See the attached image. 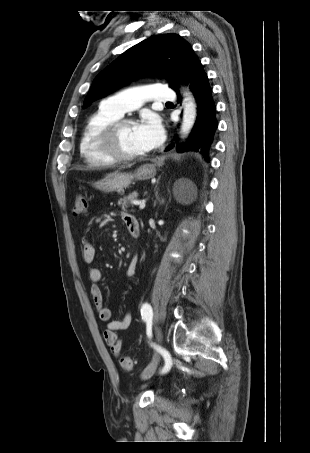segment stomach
I'll use <instances>...</instances> for the list:
<instances>
[{"instance_id":"stomach-1","label":"stomach","mask_w":310,"mask_h":453,"mask_svg":"<svg viewBox=\"0 0 310 453\" xmlns=\"http://www.w3.org/2000/svg\"><path fill=\"white\" fill-rule=\"evenodd\" d=\"M157 164H144L134 173H115L98 181L95 186L104 192H121L129 187L133 180H147L156 175Z\"/></svg>"}]
</instances>
